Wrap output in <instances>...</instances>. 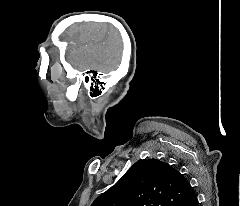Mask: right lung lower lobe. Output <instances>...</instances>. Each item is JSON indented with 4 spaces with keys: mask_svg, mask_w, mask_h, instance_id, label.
Instances as JSON below:
<instances>
[{
    "mask_svg": "<svg viewBox=\"0 0 240 206\" xmlns=\"http://www.w3.org/2000/svg\"><path fill=\"white\" fill-rule=\"evenodd\" d=\"M180 206H198L197 196L195 195L193 198L182 203Z\"/></svg>",
    "mask_w": 240,
    "mask_h": 206,
    "instance_id": "98d812e1",
    "label": "right lung lower lobe"
}]
</instances>
